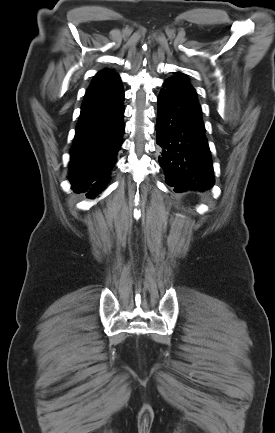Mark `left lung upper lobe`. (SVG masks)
Returning <instances> with one entry per match:
<instances>
[{"label":"left lung upper lobe","mask_w":275,"mask_h":433,"mask_svg":"<svg viewBox=\"0 0 275 433\" xmlns=\"http://www.w3.org/2000/svg\"><path fill=\"white\" fill-rule=\"evenodd\" d=\"M178 75H179V78H184V76H182V73L179 72Z\"/></svg>","instance_id":"left-lung-upper-lobe-1"}]
</instances>
